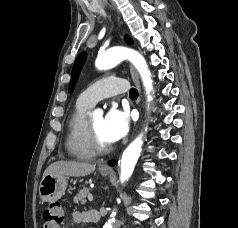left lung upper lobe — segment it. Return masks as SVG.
Instances as JSON below:
<instances>
[{
  "label": "left lung upper lobe",
  "mask_w": 238,
  "mask_h": 228,
  "mask_svg": "<svg viewBox=\"0 0 238 228\" xmlns=\"http://www.w3.org/2000/svg\"><path fill=\"white\" fill-rule=\"evenodd\" d=\"M125 41L129 44L132 43V40L127 35L125 36ZM86 56H87L86 53L83 52V53L79 54L75 60V63L72 68L71 81H70V85H69V89H68L69 93H72L74 91V88H75V85L79 78L81 69L85 63Z\"/></svg>",
  "instance_id": "obj_1"
}]
</instances>
